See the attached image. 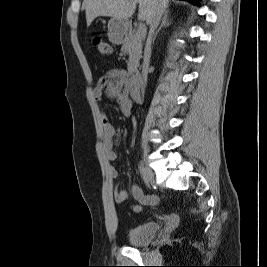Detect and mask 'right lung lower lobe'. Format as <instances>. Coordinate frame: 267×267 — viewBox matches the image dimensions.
<instances>
[{
	"instance_id": "right-lung-lower-lobe-1",
	"label": "right lung lower lobe",
	"mask_w": 267,
	"mask_h": 267,
	"mask_svg": "<svg viewBox=\"0 0 267 267\" xmlns=\"http://www.w3.org/2000/svg\"><path fill=\"white\" fill-rule=\"evenodd\" d=\"M185 1L191 2L195 5H199V0H185Z\"/></svg>"
}]
</instances>
